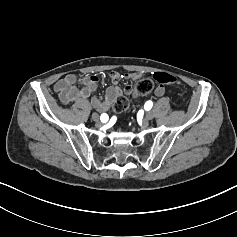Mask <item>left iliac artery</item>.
Wrapping results in <instances>:
<instances>
[{
  "instance_id": "obj_1",
  "label": "left iliac artery",
  "mask_w": 237,
  "mask_h": 237,
  "mask_svg": "<svg viewBox=\"0 0 237 237\" xmlns=\"http://www.w3.org/2000/svg\"><path fill=\"white\" fill-rule=\"evenodd\" d=\"M152 106H153L152 101H147L144 105L146 110H150L152 108Z\"/></svg>"
}]
</instances>
